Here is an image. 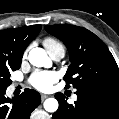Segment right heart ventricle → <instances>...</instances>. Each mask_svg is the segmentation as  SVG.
Listing matches in <instances>:
<instances>
[{
	"mask_svg": "<svg viewBox=\"0 0 119 119\" xmlns=\"http://www.w3.org/2000/svg\"><path fill=\"white\" fill-rule=\"evenodd\" d=\"M43 44L45 45L48 51L53 50L54 48H57V47H63V45L59 41H57L56 39L52 37L45 38L43 40Z\"/></svg>",
	"mask_w": 119,
	"mask_h": 119,
	"instance_id": "obj_1",
	"label": "right heart ventricle"
}]
</instances>
